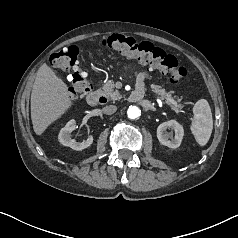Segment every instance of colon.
Instances as JSON below:
<instances>
[{"label":"colon","instance_id":"obj_1","mask_svg":"<svg viewBox=\"0 0 238 238\" xmlns=\"http://www.w3.org/2000/svg\"><path fill=\"white\" fill-rule=\"evenodd\" d=\"M99 45L137 59L141 64L169 76L173 83L182 81L188 74L187 69L179 65L174 56L150 42H139L130 36L113 34L101 39ZM50 64L56 70L69 74V92L73 99L84 97L90 91L91 86L80 67L79 49L76 46H68L52 54Z\"/></svg>","mask_w":238,"mask_h":238}]
</instances>
